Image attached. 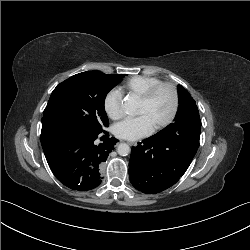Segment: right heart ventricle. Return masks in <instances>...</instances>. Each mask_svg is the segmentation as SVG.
Returning <instances> with one entry per match:
<instances>
[{
  "label": "right heart ventricle",
  "instance_id": "right-heart-ventricle-1",
  "mask_svg": "<svg viewBox=\"0 0 250 250\" xmlns=\"http://www.w3.org/2000/svg\"><path fill=\"white\" fill-rule=\"evenodd\" d=\"M162 82L159 78L154 76H133L127 79L121 85V91L140 97L145 93L150 87Z\"/></svg>",
  "mask_w": 250,
  "mask_h": 250
}]
</instances>
